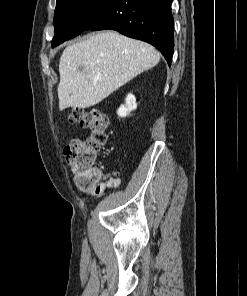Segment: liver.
I'll return each mask as SVG.
<instances>
[{
  "mask_svg": "<svg viewBox=\"0 0 247 296\" xmlns=\"http://www.w3.org/2000/svg\"><path fill=\"white\" fill-rule=\"evenodd\" d=\"M159 61L152 45L115 31L71 44L59 62V109L94 106Z\"/></svg>",
  "mask_w": 247,
  "mask_h": 296,
  "instance_id": "obj_1",
  "label": "liver"
}]
</instances>
